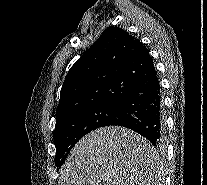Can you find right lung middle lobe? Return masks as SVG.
I'll return each mask as SVG.
<instances>
[{
    "mask_svg": "<svg viewBox=\"0 0 207 185\" xmlns=\"http://www.w3.org/2000/svg\"><path fill=\"white\" fill-rule=\"evenodd\" d=\"M120 104H103L78 112L56 123L54 143L56 146L55 164L63 165L70 150L84 135L114 120Z\"/></svg>",
    "mask_w": 207,
    "mask_h": 185,
    "instance_id": "right-lung-middle-lobe-1",
    "label": "right lung middle lobe"
}]
</instances>
